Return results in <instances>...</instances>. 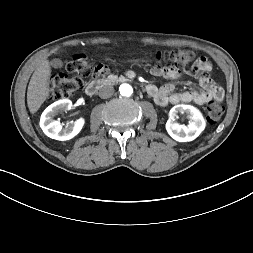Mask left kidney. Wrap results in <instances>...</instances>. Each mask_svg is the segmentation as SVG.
<instances>
[{
    "instance_id": "5707ae66",
    "label": "left kidney",
    "mask_w": 253,
    "mask_h": 253,
    "mask_svg": "<svg viewBox=\"0 0 253 253\" xmlns=\"http://www.w3.org/2000/svg\"><path fill=\"white\" fill-rule=\"evenodd\" d=\"M186 113L190 121L187 126L180 125L175 121L178 114ZM205 120L201 112L191 105L179 104L172 107L169 119L166 123L168 134L178 142H189L196 139L205 129Z\"/></svg>"
}]
</instances>
